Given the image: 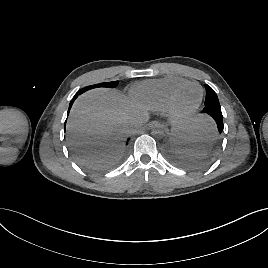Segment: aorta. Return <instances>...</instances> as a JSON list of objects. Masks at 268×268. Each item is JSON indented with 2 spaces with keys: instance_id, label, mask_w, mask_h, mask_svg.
Segmentation results:
<instances>
[{
  "instance_id": "1",
  "label": "aorta",
  "mask_w": 268,
  "mask_h": 268,
  "mask_svg": "<svg viewBox=\"0 0 268 268\" xmlns=\"http://www.w3.org/2000/svg\"><path fill=\"white\" fill-rule=\"evenodd\" d=\"M151 135L156 139H160L164 137L165 131L162 128L158 127L152 130Z\"/></svg>"
}]
</instances>
